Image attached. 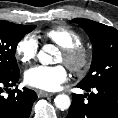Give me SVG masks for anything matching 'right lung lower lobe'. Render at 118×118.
Returning a JSON list of instances; mask_svg holds the SVG:
<instances>
[{"label":"right lung lower lobe","mask_w":118,"mask_h":118,"mask_svg":"<svg viewBox=\"0 0 118 118\" xmlns=\"http://www.w3.org/2000/svg\"><path fill=\"white\" fill-rule=\"evenodd\" d=\"M19 80V73L9 77L0 78V118H29L32 105L37 99L33 90H10L8 87L15 86ZM7 90L9 95L5 96Z\"/></svg>","instance_id":"1"}]
</instances>
